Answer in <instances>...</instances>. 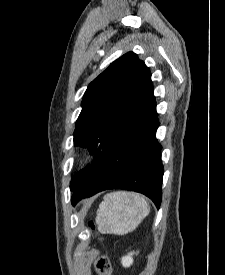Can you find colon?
<instances>
[{
	"label": "colon",
	"instance_id": "5ec220e1",
	"mask_svg": "<svg viewBox=\"0 0 225 275\" xmlns=\"http://www.w3.org/2000/svg\"><path fill=\"white\" fill-rule=\"evenodd\" d=\"M89 226L91 229H95V224L93 222L89 223ZM96 269L99 273V275H111L112 274V266L110 264V261L107 257L101 256L96 261Z\"/></svg>",
	"mask_w": 225,
	"mask_h": 275
}]
</instances>
